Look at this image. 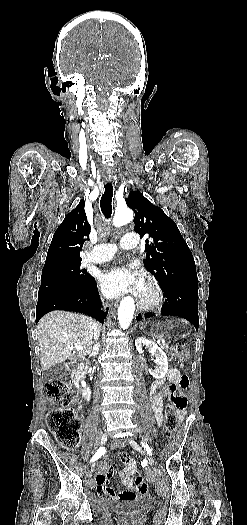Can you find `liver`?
<instances>
[{"mask_svg": "<svg viewBox=\"0 0 247 525\" xmlns=\"http://www.w3.org/2000/svg\"><path fill=\"white\" fill-rule=\"evenodd\" d=\"M96 325L91 317L80 313L51 311L44 315L37 325L43 371H48L57 363H77L85 359L91 353ZM74 347L84 349L78 351Z\"/></svg>", "mask_w": 247, "mask_h": 525, "instance_id": "6515ba94", "label": "liver"}]
</instances>
